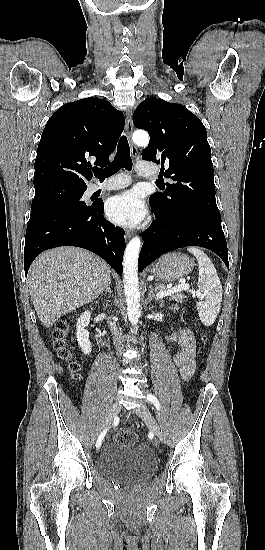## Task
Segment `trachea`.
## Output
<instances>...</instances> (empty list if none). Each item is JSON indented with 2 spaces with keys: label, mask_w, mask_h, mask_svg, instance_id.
Wrapping results in <instances>:
<instances>
[{
  "label": "trachea",
  "mask_w": 265,
  "mask_h": 550,
  "mask_svg": "<svg viewBox=\"0 0 265 550\" xmlns=\"http://www.w3.org/2000/svg\"><path fill=\"white\" fill-rule=\"evenodd\" d=\"M121 168H125L128 171L132 169L130 147L128 144V140L124 135L119 140L117 153L113 162L104 169L94 168L93 172L99 180H104L105 178H108L117 173Z\"/></svg>",
  "instance_id": "trachea-1"
}]
</instances>
